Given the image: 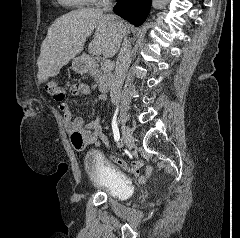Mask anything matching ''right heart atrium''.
Returning a JSON list of instances; mask_svg holds the SVG:
<instances>
[{"mask_svg":"<svg viewBox=\"0 0 240 238\" xmlns=\"http://www.w3.org/2000/svg\"><path fill=\"white\" fill-rule=\"evenodd\" d=\"M105 2V1H107V0H91V2Z\"/></svg>","mask_w":240,"mask_h":238,"instance_id":"right-heart-atrium-1","label":"right heart atrium"}]
</instances>
